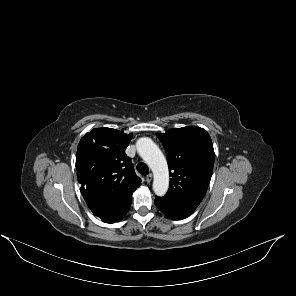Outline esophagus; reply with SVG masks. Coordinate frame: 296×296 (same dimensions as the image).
Listing matches in <instances>:
<instances>
[{"mask_svg":"<svg viewBox=\"0 0 296 296\" xmlns=\"http://www.w3.org/2000/svg\"><path fill=\"white\" fill-rule=\"evenodd\" d=\"M152 178H153V175L152 174H149L146 176V182L147 183H150L152 181Z\"/></svg>","mask_w":296,"mask_h":296,"instance_id":"1","label":"esophagus"}]
</instances>
